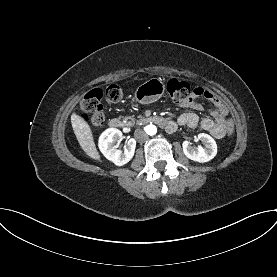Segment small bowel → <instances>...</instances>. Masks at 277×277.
I'll return each mask as SVG.
<instances>
[{
  "label": "small bowel",
  "mask_w": 277,
  "mask_h": 277,
  "mask_svg": "<svg viewBox=\"0 0 277 277\" xmlns=\"http://www.w3.org/2000/svg\"><path fill=\"white\" fill-rule=\"evenodd\" d=\"M199 97H203L213 104V108L210 109V114L213 118H203L199 120L195 113L186 112L179 116L177 120L178 124L189 128L200 125L202 129L206 130L217 139L225 137V132L227 131L225 124L228 119V110L222 100L213 92L205 88L197 87L194 90L193 97L190 100L180 103L179 106L189 110L200 111L202 110V105L195 100Z\"/></svg>",
  "instance_id": "obj_1"
}]
</instances>
